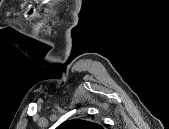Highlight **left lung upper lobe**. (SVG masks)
Here are the masks:
<instances>
[{"instance_id": "5c2ea615", "label": "left lung upper lobe", "mask_w": 169, "mask_h": 129, "mask_svg": "<svg viewBox=\"0 0 169 129\" xmlns=\"http://www.w3.org/2000/svg\"><path fill=\"white\" fill-rule=\"evenodd\" d=\"M59 129H102V127L87 119H74L63 122Z\"/></svg>"}]
</instances>
